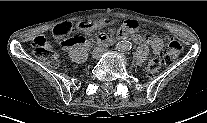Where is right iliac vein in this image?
<instances>
[{"label": "right iliac vein", "mask_w": 207, "mask_h": 123, "mask_svg": "<svg viewBox=\"0 0 207 123\" xmlns=\"http://www.w3.org/2000/svg\"><path fill=\"white\" fill-rule=\"evenodd\" d=\"M98 56H99V51L96 50L92 53L93 58H98Z\"/></svg>", "instance_id": "obj_1"}]
</instances>
